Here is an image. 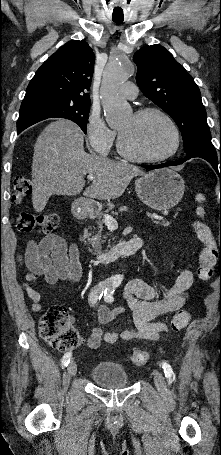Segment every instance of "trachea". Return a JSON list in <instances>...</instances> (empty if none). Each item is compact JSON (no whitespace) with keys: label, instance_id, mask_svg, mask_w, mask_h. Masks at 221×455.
Wrapping results in <instances>:
<instances>
[{"label":"trachea","instance_id":"1","mask_svg":"<svg viewBox=\"0 0 221 455\" xmlns=\"http://www.w3.org/2000/svg\"><path fill=\"white\" fill-rule=\"evenodd\" d=\"M113 21H114L115 23H122V22H123V19L113 18Z\"/></svg>","mask_w":221,"mask_h":455}]
</instances>
